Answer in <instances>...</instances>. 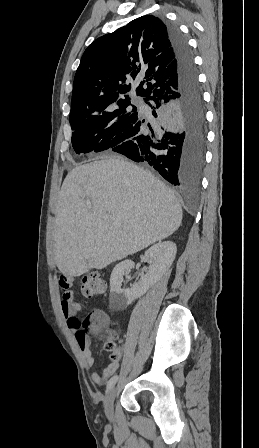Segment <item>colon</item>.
Wrapping results in <instances>:
<instances>
[{
    "instance_id": "1",
    "label": "colon",
    "mask_w": 259,
    "mask_h": 448,
    "mask_svg": "<svg viewBox=\"0 0 259 448\" xmlns=\"http://www.w3.org/2000/svg\"><path fill=\"white\" fill-rule=\"evenodd\" d=\"M81 294L84 297L100 296L105 291V282L98 272L91 271L86 273L81 282ZM107 316L102 312H93L88 315L81 324L82 330H88L92 333H100L107 325ZM82 334H85L82 331ZM106 349L117 353L119 349L112 340H107Z\"/></svg>"
}]
</instances>
